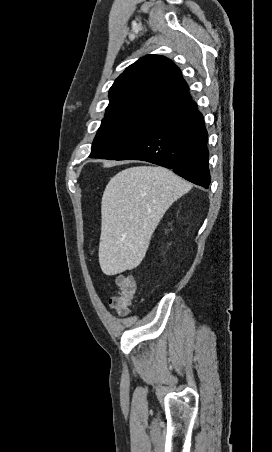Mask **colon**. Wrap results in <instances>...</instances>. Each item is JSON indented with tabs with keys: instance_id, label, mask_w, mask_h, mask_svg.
<instances>
[{
	"instance_id": "1",
	"label": "colon",
	"mask_w": 272,
	"mask_h": 452,
	"mask_svg": "<svg viewBox=\"0 0 272 452\" xmlns=\"http://www.w3.org/2000/svg\"><path fill=\"white\" fill-rule=\"evenodd\" d=\"M118 292L109 300V306L120 316L128 315L137 293L136 281L129 275L116 277Z\"/></svg>"
}]
</instances>
